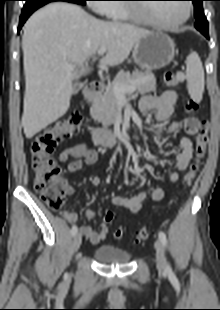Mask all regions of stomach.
Segmentation results:
<instances>
[{
  "label": "stomach",
  "mask_w": 220,
  "mask_h": 310,
  "mask_svg": "<svg viewBox=\"0 0 220 310\" xmlns=\"http://www.w3.org/2000/svg\"><path fill=\"white\" fill-rule=\"evenodd\" d=\"M175 55V43L161 32H152L140 38L133 48V59L142 68L151 71L166 67Z\"/></svg>",
  "instance_id": "0dacf381"
}]
</instances>
